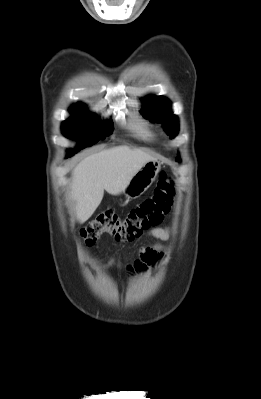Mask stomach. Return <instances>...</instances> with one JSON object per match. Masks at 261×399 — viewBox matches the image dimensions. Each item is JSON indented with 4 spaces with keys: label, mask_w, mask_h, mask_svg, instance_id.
<instances>
[{
    "label": "stomach",
    "mask_w": 261,
    "mask_h": 399,
    "mask_svg": "<svg viewBox=\"0 0 261 399\" xmlns=\"http://www.w3.org/2000/svg\"><path fill=\"white\" fill-rule=\"evenodd\" d=\"M160 169L157 160L145 163L139 171L132 177L123 193L128 199L140 197L153 183Z\"/></svg>",
    "instance_id": "0dacf381"
}]
</instances>
